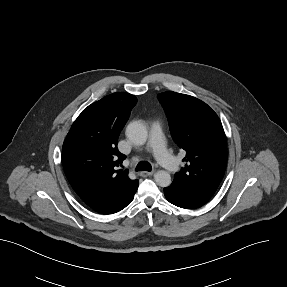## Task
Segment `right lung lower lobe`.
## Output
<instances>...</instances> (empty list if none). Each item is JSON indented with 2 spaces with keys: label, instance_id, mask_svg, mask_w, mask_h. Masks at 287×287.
<instances>
[{
  "label": "right lung lower lobe",
  "instance_id": "98d812e1",
  "mask_svg": "<svg viewBox=\"0 0 287 287\" xmlns=\"http://www.w3.org/2000/svg\"><path fill=\"white\" fill-rule=\"evenodd\" d=\"M139 181L125 188H114L95 196L82 199L93 211L100 214H114L131 203L137 191Z\"/></svg>",
  "mask_w": 287,
  "mask_h": 287
}]
</instances>
